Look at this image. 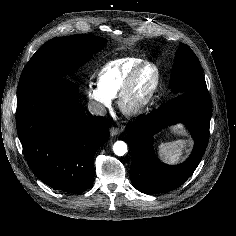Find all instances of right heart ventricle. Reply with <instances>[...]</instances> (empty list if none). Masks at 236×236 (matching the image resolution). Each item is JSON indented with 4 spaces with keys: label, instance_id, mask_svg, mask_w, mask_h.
Returning <instances> with one entry per match:
<instances>
[{
    "label": "right heart ventricle",
    "instance_id": "e07e8e85",
    "mask_svg": "<svg viewBox=\"0 0 236 236\" xmlns=\"http://www.w3.org/2000/svg\"><path fill=\"white\" fill-rule=\"evenodd\" d=\"M143 62L139 57H124L107 63L98 74V86L110 98H116L129 74Z\"/></svg>",
    "mask_w": 236,
    "mask_h": 236
}]
</instances>
